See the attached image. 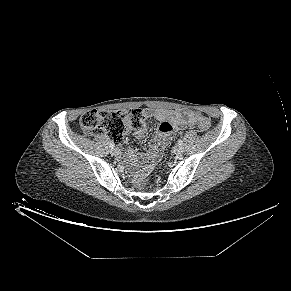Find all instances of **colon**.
I'll use <instances>...</instances> for the list:
<instances>
[{"label": "colon", "instance_id": "5ec220e1", "mask_svg": "<svg viewBox=\"0 0 291 291\" xmlns=\"http://www.w3.org/2000/svg\"><path fill=\"white\" fill-rule=\"evenodd\" d=\"M145 120V114L141 109L128 111H88L81 116L82 128L91 135L106 134L112 141L119 144L124 140L125 134L139 129ZM198 126L201 131H207L210 120L200 116ZM152 169L146 168L141 172L145 177Z\"/></svg>", "mask_w": 291, "mask_h": 291}]
</instances>
